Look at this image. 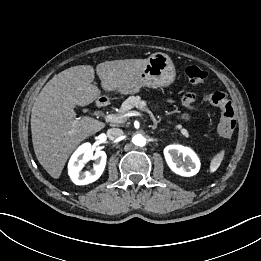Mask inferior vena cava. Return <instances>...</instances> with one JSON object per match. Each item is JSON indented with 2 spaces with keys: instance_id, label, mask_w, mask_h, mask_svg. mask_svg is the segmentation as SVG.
Listing matches in <instances>:
<instances>
[{
  "instance_id": "1",
  "label": "inferior vena cava",
  "mask_w": 261,
  "mask_h": 261,
  "mask_svg": "<svg viewBox=\"0 0 261 261\" xmlns=\"http://www.w3.org/2000/svg\"><path fill=\"white\" fill-rule=\"evenodd\" d=\"M123 135V131L119 128H110L107 130V137L111 140L117 139Z\"/></svg>"
}]
</instances>
